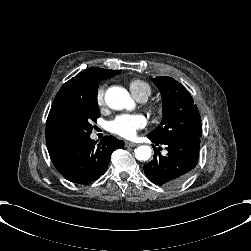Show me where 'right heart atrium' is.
I'll use <instances>...</instances> for the list:
<instances>
[{"mask_svg":"<svg viewBox=\"0 0 251 251\" xmlns=\"http://www.w3.org/2000/svg\"><path fill=\"white\" fill-rule=\"evenodd\" d=\"M96 103L99 107L105 103V87L99 86L96 90Z\"/></svg>","mask_w":251,"mask_h":251,"instance_id":"d8ad5b80","label":"right heart atrium"}]
</instances>
